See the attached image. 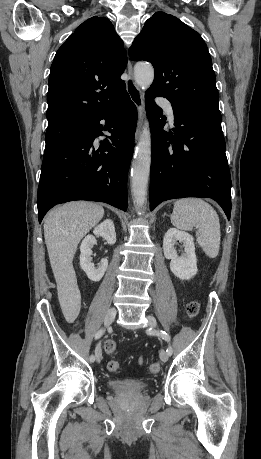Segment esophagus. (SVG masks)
<instances>
[{
  "instance_id": "34e87169",
  "label": "esophagus",
  "mask_w": 261,
  "mask_h": 459,
  "mask_svg": "<svg viewBox=\"0 0 261 459\" xmlns=\"http://www.w3.org/2000/svg\"><path fill=\"white\" fill-rule=\"evenodd\" d=\"M127 74L128 78L126 80V90L130 96L131 101L135 104L138 111V122L135 134V139L137 140L140 135L143 122L144 101L142 91L134 81L132 64L129 60L127 64Z\"/></svg>"
}]
</instances>
